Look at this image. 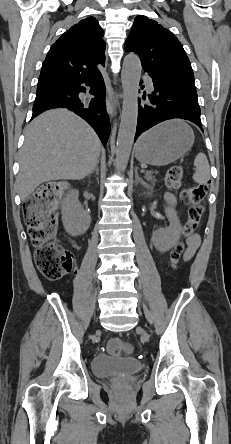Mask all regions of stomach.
<instances>
[{"label": "stomach", "instance_id": "0dacf381", "mask_svg": "<svg viewBox=\"0 0 231 444\" xmlns=\"http://www.w3.org/2000/svg\"><path fill=\"white\" fill-rule=\"evenodd\" d=\"M193 143L194 133L189 125L179 119L169 120L139 138L135 156L140 162L164 166L181 158Z\"/></svg>", "mask_w": 231, "mask_h": 444}]
</instances>
